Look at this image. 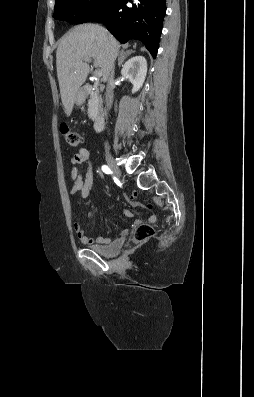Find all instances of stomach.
Listing matches in <instances>:
<instances>
[{"instance_id": "0dacf381", "label": "stomach", "mask_w": 254, "mask_h": 397, "mask_svg": "<svg viewBox=\"0 0 254 397\" xmlns=\"http://www.w3.org/2000/svg\"><path fill=\"white\" fill-rule=\"evenodd\" d=\"M84 101H85V94H84V92L82 90H79L77 95H76L75 103L77 105H81V104H83Z\"/></svg>"}]
</instances>
